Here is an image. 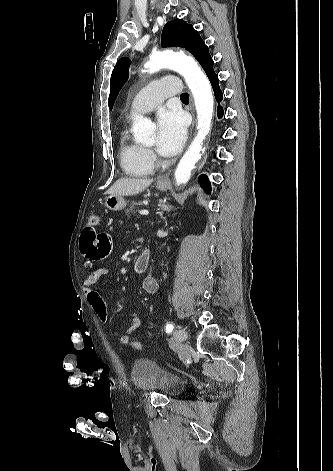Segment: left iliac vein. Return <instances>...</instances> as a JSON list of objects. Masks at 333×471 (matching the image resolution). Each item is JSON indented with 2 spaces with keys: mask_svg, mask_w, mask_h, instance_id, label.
<instances>
[{
  "mask_svg": "<svg viewBox=\"0 0 333 471\" xmlns=\"http://www.w3.org/2000/svg\"><path fill=\"white\" fill-rule=\"evenodd\" d=\"M188 334L183 329H177L174 331V344L182 349L183 343L187 340Z\"/></svg>",
  "mask_w": 333,
  "mask_h": 471,
  "instance_id": "left-iliac-vein-1",
  "label": "left iliac vein"
}]
</instances>
